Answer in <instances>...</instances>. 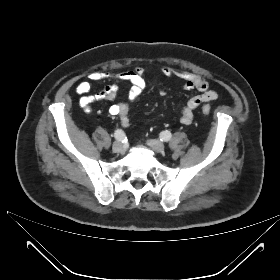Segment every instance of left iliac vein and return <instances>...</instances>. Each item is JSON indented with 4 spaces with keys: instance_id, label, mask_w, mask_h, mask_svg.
Returning a JSON list of instances; mask_svg holds the SVG:
<instances>
[{
    "instance_id": "left-iliac-vein-1",
    "label": "left iliac vein",
    "mask_w": 280,
    "mask_h": 280,
    "mask_svg": "<svg viewBox=\"0 0 280 280\" xmlns=\"http://www.w3.org/2000/svg\"><path fill=\"white\" fill-rule=\"evenodd\" d=\"M147 145L157 153H162L165 150L164 144L156 139L147 140Z\"/></svg>"
}]
</instances>
